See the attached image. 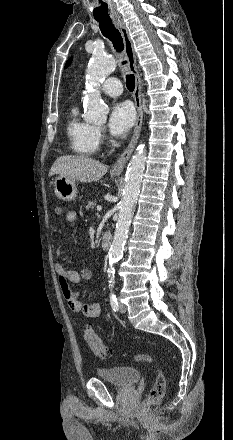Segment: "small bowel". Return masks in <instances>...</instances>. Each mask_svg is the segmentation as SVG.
<instances>
[{
    "mask_svg": "<svg viewBox=\"0 0 233 440\" xmlns=\"http://www.w3.org/2000/svg\"><path fill=\"white\" fill-rule=\"evenodd\" d=\"M78 213L70 210L66 213V220L70 223L75 222ZM61 250L57 251V260L54 264L58 276L61 293L66 300L70 310L74 313H82L90 318H97L101 314V306L96 302H82V293L73 289L72 284H78L82 280L91 281L94 274L90 269L84 268L79 271L68 269L61 263Z\"/></svg>",
    "mask_w": 233,
    "mask_h": 440,
    "instance_id": "obj_1",
    "label": "small bowel"
}]
</instances>
